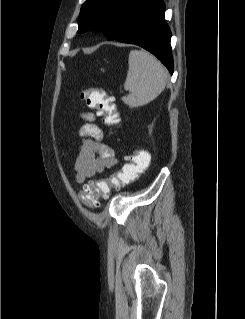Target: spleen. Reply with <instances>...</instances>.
Listing matches in <instances>:
<instances>
[{"instance_id": "spleen-1", "label": "spleen", "mask_w": 245, "mask_h": 319, "mask_svg": "<svg viewBox=\"0 0 245 319\" xmlns=\"http://www.w3.org/2000/svg\"><path fill=\"white\" fill-rule=\"evenodd\" d=\"M167 84V70L145 50L129 53L128 72L124 89L129 91L122 101L129 107H140L154 100Z\"/></svg>"}]
</instances>
